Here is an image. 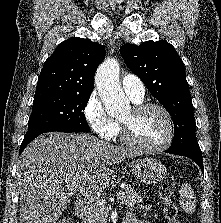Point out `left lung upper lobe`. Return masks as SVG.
<instances>
[{
	"label": "left lung upper lobe",
	"instance_id": "obj_1",
	"mask_svg": "<svg viewBox=\"0 0 221 223\" xmlns=\"http://www.w3.org/2000/svg\"><path fill=\"white\" fill-rule=\"evenodd\" d=\"M120 53L128 68L172 116L170 149H200L184 64L174 47L164 40L147 41L139 46L125 44Z\"/></svg>",
	"mask_w": 221,
	"mask_h": 223
}]
</instances>
